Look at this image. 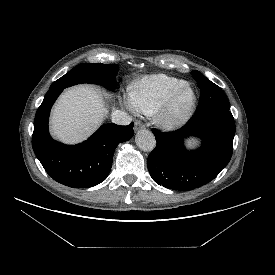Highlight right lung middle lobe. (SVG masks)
<instances>
[{"label":"right lung middle lobe","mask_w":275,"mask_h":275,"mask_svg":"<svg viewBox=\"0 0 275 275\" xmlns=\"http://www.w3.org/2000/svg\"><path fill=\"white\" fill-rule=\"evenodd\" d=\"M119 66L105 65L101 63H83L74 67L71 71L55 81L49 90L67 88L80 83H92L104 85L110 90L115 87V76Z\"/></svg>","instance_id":"obj_1"}]
</instances>
